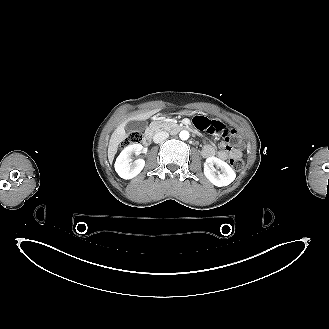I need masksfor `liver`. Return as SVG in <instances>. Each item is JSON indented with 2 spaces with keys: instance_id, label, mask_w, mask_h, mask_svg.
<instances>
[{
  "instance_id": "6515ba94",
  "label": "liver",
  "mask_w": 329,
  "mask_h": 329,
  "mask_svg": "<svg viewBox=\"0 0 329 329\" xmlns=\"http://www.w3.org/2000/svg\"><path fill=\"white\" fill-rule=\"evenodd\" d=\"M161 108L150 110L147 112L143 113H138L136 115H133L126 119L124 122H122L112 133L110 141H109V146H108V160L110 163L113 162L114 156L117 153L118 150V145L127 137V133L125 131V126L126 124L131 121V120H138V121H143L149 119L152 115L155 113L159 112Z\"/></svg>"
}]
</instances>
